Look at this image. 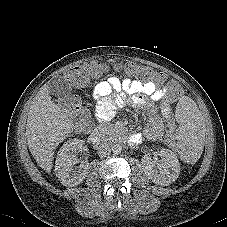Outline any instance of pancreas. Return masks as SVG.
<instances>
[{
    "mask_svg": "<svg viewBox=\"0 0 227 227\" xmlns=\"http://www.w3.org/2000/svg\"><path fill=\"white\" fill-rule=\"evenodd\" d=\"M95 132H96L97 134H101V135H103V134H108V130H103L102 126H98V127L95 129Z\"/></svg>",
    "mask_w": 227,
    "mask_h": 227,
    "instance_id": "cf45deb5",
    "label": "pancreas"
}]
</instances>
